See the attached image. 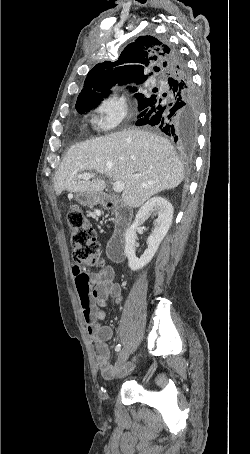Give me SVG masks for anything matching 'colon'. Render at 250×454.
Segmentation results:
<instances>
[{"instance_id":"colon-1","label":"colon","mask_w":250,"mask_h":454,"mask_svg":"<svg viewBox=\"0 0 250 454\" xmlns=\"http://www.w3.org/2000/svg\"><path fill=\"white\" fill-rule=\"evenodd\" d=\"M103 204L108 208L113 205L110 200H105ZM67 223L70 244L72 246V257L75 263L83 269L102 267L103 261L100 258V247L96 239V234L83 211L78 206H69L67 210Z\"/></svg>"}]
</instances>
